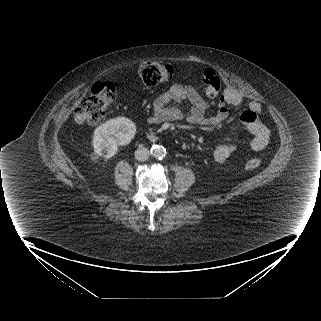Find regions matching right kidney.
Wrapping results in <instances>:
<instances>
[{"label":"right kidney","mask_w":321,"mask_h":321,"mask_svg":"<svg viewBox=\"0 0 321 321\" xmlns=\"http://www.w3.org/2000/svg\"><path fill=\"white\" fill-rule=\"evenodd\" d=\"M136 134V126L126 117H116L97 127L92 145L94 152L103 158H111L118 146L128 145Z\"/></svg>","instance_id":"right-kidney-1"}]
</instances>
